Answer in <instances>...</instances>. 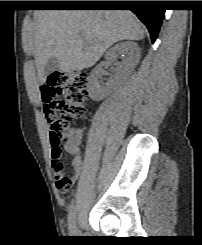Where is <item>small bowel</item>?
I'll return each mask as SVG.
<instances>
[{
    "instance_id": "1",
    "label": "small bowel",
    "mask_w": 202,
    "mask_h": 245,
    "mask_svg": "<svg viewBox=\"0 0 202 245\" xmlns=\"http://www.w3.org/2000/svg\"><path fill=\"white\" fill-rule=\"evenodd\" d=\"M39 97L50 112H55V88L42 84L39 90ZM81 133L79 130L70 132L63 146L58 149L51 147V170L55 180V188L58 192L64 193L75 184L81 176L84 166L80 153ZM63 151L73 156V174L68 176L66 164L62 157Z\"/></svg>"
}]
</instances>
